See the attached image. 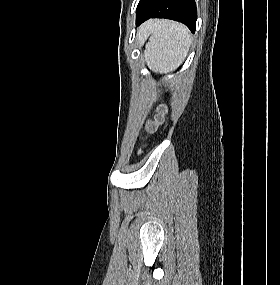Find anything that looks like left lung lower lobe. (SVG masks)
Segmentation results:
<instances>
[{"label":"left lung lower lobe","mask_w":280,"mask_h":285,"mask_svg":"<svg viewBox=\"0 0 280 285\" xmlns=\"http://www.w3.org/2000/svg\"><path fill=\"white\" fill-rule=\"evenodd\" d=\"M150 18L176 20L195 32L196 5L194 0H140L136 10V25Z\"/></svg>","instance_id":"obj_1"}]
</instances>
